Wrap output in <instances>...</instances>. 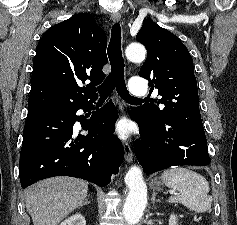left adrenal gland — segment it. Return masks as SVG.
Masks as SVG:
<instances>
[{
  "label": "left adrenal gland",
  "instance_id": "left-adrenal-gland-1",
  "mask_svg": "<svg viewBox=\"0 0 237 225\" xmlns=\"http://www.w3.org/2000/svg\"><path fill=\"white\" fill-rule=\"evenodd\" d=\"M156 192H153L152 194V198H151V202L152 203H155V202H161L159 199H156Z\"/></svg>",
  "mask_w": 237,
  "mask_h": 225
}]
</instances>
